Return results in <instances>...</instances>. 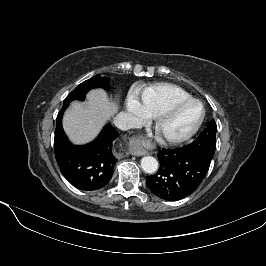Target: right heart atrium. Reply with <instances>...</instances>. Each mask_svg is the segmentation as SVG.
Listing matches in <instances>:
<instances>
[{"instance_id":"obj_1","label":"right heart atrium","mask_w":266,"mask_h":266,"mask_svg":"<svg viewBox=\"0 0 266 266\" xmlns=\"http://www.w3.org/2000/svg\"><path fill=\"white\" fill-rule=\"evenodd\" d=\"M126 109L130 114L134 124L146 122L150 118V114L146 110L144 104L134 93L129 94L127 97Z\"/></svg>"}]
</instances>
